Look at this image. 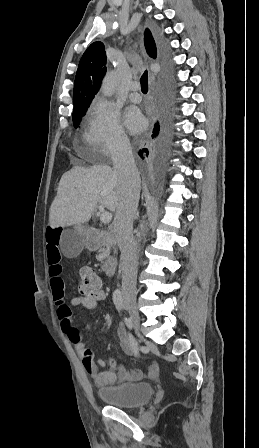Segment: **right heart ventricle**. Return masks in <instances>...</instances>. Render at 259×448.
I'll return each instance as SVG.
<instances>
[{
    "label": "right heart ventricle",
    "mask_w": 259,
    "mask_h": 448,
    "mask_svg": "<svg viewBox=\"0 0 259 448\" xmlns=\"http://www.w3.org/2000/svg\"><path fill=\"white\" fill-rule=\"evenodd\" d=\"M90 121H91V115L88 114V115H87V118H86V122H87L88 125H89Z\"/></svg>",
    "instance_id": "1"
}]
</instances>
